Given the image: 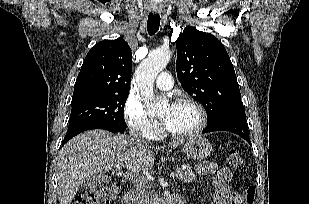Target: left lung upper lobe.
Here are the masks:
<instances>
[{"label": "left lung upper lobe", "instance_id": "obj_1", "mask_svg": "<svg viewBox=\"0 0 309 204\" xmlns=\"http://www.w3.org/2000/svg\"><path fill=\"white\" fill-rule=\"evenodd\" d=\"M176 46L181 86L203 105L208 122L226 111L244 109L233 65L215 36L188 26Z\"/></svg>", "mask_w": 309, "mask_h": 204}]
</instances>
